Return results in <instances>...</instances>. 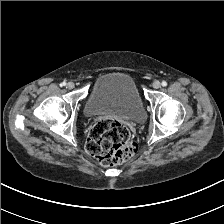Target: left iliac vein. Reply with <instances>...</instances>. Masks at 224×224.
I'll use <instances>...</instances> for the list:
<instances>
[{
  "instance_id": "4c4485c4",
  "label": "left iliac vein",
  "mask_w": 224,
  "mask_h": 224,
  "mask_svg": "<svg viewBox=\"0 0 224 224\" xmlns=\"http://www.w3.org/2000/svg\"><path fill=\"white\" fill-rule=\"evenodd\" d=\"M152 86H153L154 89H159L161 87V83L156 80V81L153 82Z\"/></svg>"
}]
</instances>
